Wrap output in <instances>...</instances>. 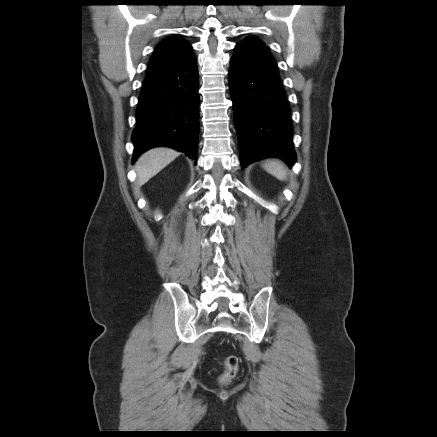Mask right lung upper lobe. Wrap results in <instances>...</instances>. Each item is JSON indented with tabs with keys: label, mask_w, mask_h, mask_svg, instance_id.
Segmentation results:
<instances>
[{
	"label": "right lung upper lobe",
	"mask_w": 437,
	"mask_h": 437,
	"mask_svg": "<svg viewBox=\"0 0 437 437\" xmlns=\"http://www.w3.org/2000/svg\"><path fill=\"white\" fill-rule=\"evenodd\" d=\"M191 50V45L179 36L162 40L149 61L148 74L184 60L192 55Z\"/></svg>",
	"instance_id": "1"
}]
</instances>
